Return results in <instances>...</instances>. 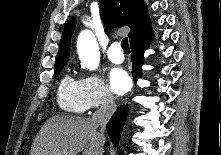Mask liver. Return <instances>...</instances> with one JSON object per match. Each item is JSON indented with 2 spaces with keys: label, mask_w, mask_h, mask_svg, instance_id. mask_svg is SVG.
<instances>
[{
  "label": "liver",
  "mask_w": 221,
  "mask_h": 155,
  "mask_svg": "<svg viewBox=\"0 0 221 155\" xmlns=\"http://www.w3.org/2000/svg\"><path fill=\"white\" fill-rule=\"evenodd\" d=\"M97 129L91 118L53 116L36 135L31 155H100L105 137Z\"/></svg>",
  "instance_id": "obj_1"
}]
</instances>
